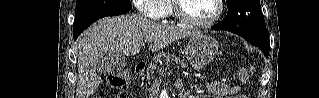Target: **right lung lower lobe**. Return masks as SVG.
Masks as SVG:
<instances>
[{
	"instance_id": "1",
	"label": "right lung lower lobe",
	"mask_w": 319,
	"mask_h": 98,
	"mask_svg": "<svg viewBox=\"0 0 319 98\" xmlns=\"http://www.w3.org/2000/svg\"><path fill=\"white\" fill-rule=\"evenodd\" d=\"M128 10H102L97 12L86 13L83 15L75 16L73 31H74V40L77 39L80 33L83 32L88 26H90L96 20L107 17L120 15Z\"/></svg>"
}]
</instances>
